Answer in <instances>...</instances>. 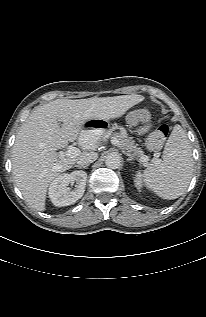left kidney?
Masks as SVG:
<instances>
[{
	"label": "left kidney",
	"instance_id": "5707ae66",
	"mask_svg": "<svg viewBox=\"0 0 206 317\" xmlns=\"http://www.w3.org/2000/svg\"><path fill=\"white\" fill-rule=\"evenodd\" d=\"M141 175L138 173L137 175H136V178H135V186L137 187V189H141V187H142V182H141Z\"/></svg>",
	"mask_w": 206,
	"mask_h": 317
}]
</instances>
